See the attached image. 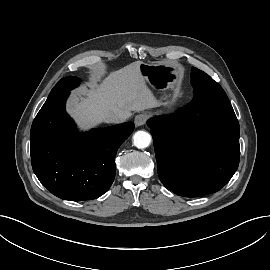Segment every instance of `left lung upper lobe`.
<instances>
[{
  "label": "left lung upper lobe",
  "instance_id": "left-lung-upper-lobe-1",
  "mask_svg": "<svg viewBox=\"0 0 270 270\" xmlns=\"http://www.w3.org/2000/svg\"><path fill=\"white\" fill-rule=\"evenodd\" d=\"M191 84L193 91H197L203 106L209 105H231L227 95L221 86L203 71L192 67Z\"/></svg>",
  "mask_w": 270,
  "mask_h": 270
}]
</instances>
